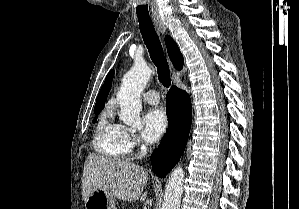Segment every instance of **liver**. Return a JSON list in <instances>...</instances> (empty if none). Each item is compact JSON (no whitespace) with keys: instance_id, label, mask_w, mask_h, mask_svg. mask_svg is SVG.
<instances>
[{"instance_id":"obj_1","label":"liver","mask_w":299,"mask_h":209,"mask_svg":"<svg viewBox=\"0 0 299 209\" xmlns=\"http://www.w3.org/2000/svg\"><path fill=\"white\" fill-rule=\"evenodd\" d=\"M147 180L148 172L142 166L89 154L83 170L82 198L86 201L92 192L104 190L124 201H144Z\"/></svg>"}]
</instances>
